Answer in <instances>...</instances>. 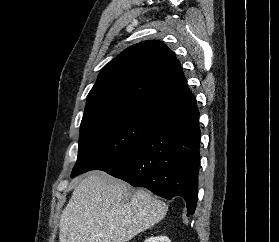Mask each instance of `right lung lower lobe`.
Returning a JSON list of instances; mask_svg holds the SVG:
<instances>
[{
	"label": "right lung lower lobe",
	"mask_w": 279,
	"mask_h": 242,
	"mask_svg": "<svg viewBox=\"0 0 279 242\" xmlns=\"http://www.w3.org/2000/svg\"><path fill=\"white\" fill-rule=\"evenodd\" d=\"M200 128L196 100L159 114L154 130L100 170L171 199L184 198L193 214L198 198Z\"/></svg>",
	"instance_id": "1"
}]
</instances>
